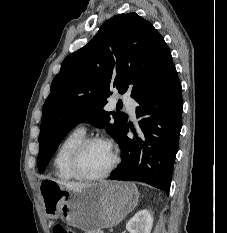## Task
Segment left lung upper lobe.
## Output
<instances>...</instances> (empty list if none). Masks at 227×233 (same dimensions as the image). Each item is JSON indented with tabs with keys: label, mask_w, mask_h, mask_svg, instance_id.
I'll return each mask as SVG.
<instances>
[{
	"label": "left lung upper lobe",
	"mask_w": 227,
	"mask_h": 233,
	"mask_svg": "<svg viewBox=\"0 0 227 233\" xmlns=\"http://www.w3.org/2000/svg\"><path fill=\"white\" fill-rule=\"evenodd\" d=\"M172 65L168 46L149 21L136 13L106 21L86 46L64 59L53 79L42 110L40 173L63 138L80 122L106 127L118 142L128 117L103 109L112 90L121 94L130 91L135 99L157 85Z\"/></svg>",
	"instance_id": "left-lung-upper-lobe-1"
}]
</instances>
